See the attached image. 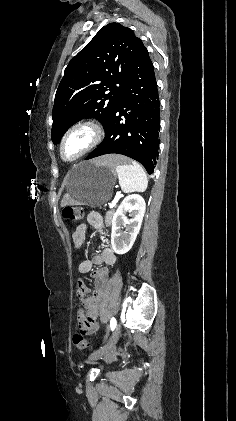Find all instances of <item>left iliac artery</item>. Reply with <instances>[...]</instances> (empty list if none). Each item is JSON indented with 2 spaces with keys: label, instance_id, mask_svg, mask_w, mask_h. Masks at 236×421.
<instances>
[{
  "label": "left iliac artery",
  "instance_id": "left-iliac-artery-1",
  "mask_svg": "<svg viewBox=\"0 0 236 421\" xmlns=\"http://www.w3.org/2000/svg\"><path fill=\"white\" fill-rule=\"evenodd\" d=\"M116 325H117L116 319L112 317L110 320V328L112 331L115 329Z\"/></svg>",
  "mask_w": 236,
  "mask_h": 421
}]
</instances>
